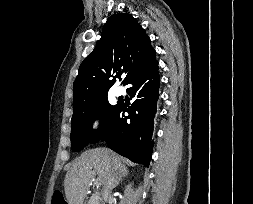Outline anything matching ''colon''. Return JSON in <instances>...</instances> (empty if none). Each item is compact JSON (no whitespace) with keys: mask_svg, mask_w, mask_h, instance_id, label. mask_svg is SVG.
Wrapping results in <instances>:
<instances>
[{"mask_svg":"<svg viewBox=\"0 0 253 204\" xmlns=\"http://www.w3.org/2000/svg\"><path fill=\"white\" fill-rule=\"evenodd\" d=\"M52 204H66L63 193L55 191L52 195Z\"/></svg>","mask_w":253,"mask_h":204,"instance_id":"colon-1","label":"colon"}]
</instances>
